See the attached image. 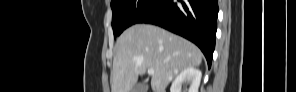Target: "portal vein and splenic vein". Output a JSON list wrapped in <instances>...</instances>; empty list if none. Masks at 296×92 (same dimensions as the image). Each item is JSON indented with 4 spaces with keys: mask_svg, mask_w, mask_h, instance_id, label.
I'll list each match as a JSON object with an SVG mask.
<instances>
[{
    "mask_svg": "<svg viewBox=\"0 0 296 92\" xmlns=\"http://www.w3.org/2000/svg\"><path fill=\"white\" fill-rule=\"evenodd\" d=\"M148 74L153 75L154 74V69H148Z\"/></svg>",
    "mask_w": 296,
    "mask_h": 92,
    "instance_id": "1",
    "label": "portal vein and splenic vein"
}]
</instances>
